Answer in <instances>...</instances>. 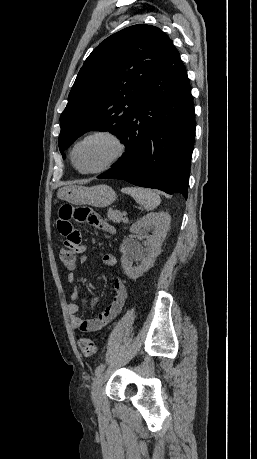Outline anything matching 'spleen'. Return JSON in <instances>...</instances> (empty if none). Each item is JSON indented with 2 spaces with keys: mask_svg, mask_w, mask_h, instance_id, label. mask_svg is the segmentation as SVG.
Wrapping results in <instances>:
<instances>
[{
  "mask_svg": "<svg viewBox=\"0 0 257 459\" xmlns=\"http://www.w3.org/2000/svg\"><path fill=\"white\" fill-rule=\"evenodd\" d=\"M123 192L131 195L147 211L155 209L161 203L159 194L146 188L127 187L123 189Z\"/></svg>",
  "mask_w": 257,
  "mask_h": 459,
  "instance_id": "3e777b00",
  "label": "spleen"
}]
</instances>
